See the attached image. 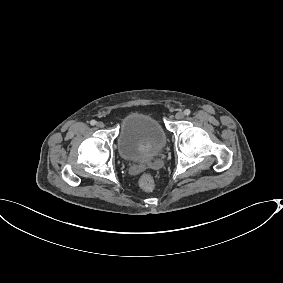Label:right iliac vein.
<instances>
[{"instance_id":"right-iliac-vein-1","label":"right iliac vein","mask_w":283,"mask_h":283,"mask_svg":"<svg viewBox=\"0 0 283 283\" xmlns=\"http://www.w3.org/2000/svg\"><path fill=\"white\" fill-rule=\"evenodd\" d=\"M96 126H97L98 128H103V127H104V123L101 122V121H99V122L96 123Z\"/></svg>"}]
</instances>
